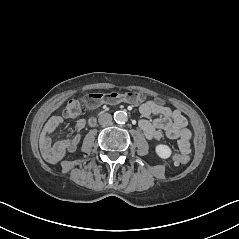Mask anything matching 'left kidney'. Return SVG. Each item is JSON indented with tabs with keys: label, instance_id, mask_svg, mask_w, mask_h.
I'll list each match as a JSON object with an SVG mask.
<instances>
[{
	"label": "left kidney",
	"instance_id": "left-kidney-1",
	"mask_svg": "<svg viewBox=\"0 0 239 239\" xmlns=\"http://www.w3.org/2000/svg\"><path fill=\"white\" fill-rule=\"evenodd\" d=\"M155 150H156L157 155L162 159H167L172 154L170 147L167 145H163V144L157 145Z\"/></svg>",
	"mask_w": 239,
	"mask_h": 239
}]
</instances>
